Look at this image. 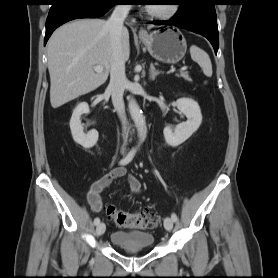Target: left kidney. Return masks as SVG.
<instances>
[{"instance_id":"5707ae66","label":"left kidney","mask_w":278,"mask_h":278,"mask_svg":"<svg viewBox=\"0 0 278 278\" xmlns=\"http://www.w3.org/2000/svg\"><path fill=\"white\" fill-rule=\"evenodd\" d=\"M176 106L186 117L187 121L177 125L174 129L166 126L163 130L165 141L169 146L176 147L185 142L202 122L200 107L196 101L189 98H181L176 101Z\"/></svg>"}]
</instances>
